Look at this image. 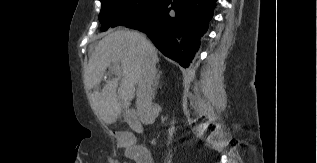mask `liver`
<instances>
[{
  "label": "liver",
  "instance_id": "1",
  "mask_svg": "<svg viewBox=\"0 0 317 163\" xmlns=\"http://www.w3.org/2000/svg\"><path fill=\"white\" fill-rule=\"evenodd\" d=\"M150 57L158 62L155 47L136 31L117 30L97 43L85 70L84 85L94 110L104 124L115 123L122 108L130 106L135 86ZM111 63L121 64V77L109 79L102 90L91 92L100 84Z\"/></svg>",
  "mask_w": 317,
  "mask_h": 163
}]
</instances>
